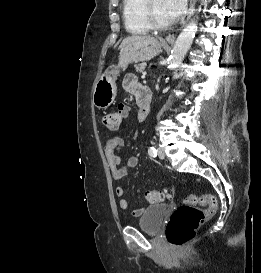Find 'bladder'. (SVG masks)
Masks as SVG:
<instances>
[{
	"label": "bladder",
	"mask_w": 261,
	"mask_h": 273,
	"mask_svg": "<svg viewBox=\"0 0 261 273\" xmlns=\"http://www.w3.org/2000/svg\"><path fill=\"white\" fill-rule=\"evenodd\" d=\"M167 213L168 206L166 204L148 206L144 208L138 225L144 232L157 234L161 231Z\"/></svg>",
	"instance_id": "obj_1"
}]
</instances>
